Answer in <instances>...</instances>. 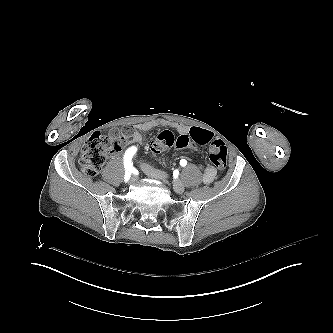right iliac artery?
Returning a JSON list of instances; mask_svg holds the SVG:
<instances>
[{
  "label": "right iliac artery",
  "mask_w": 333,
  "mask_h": 333,
  "mask_svg": "<svg viewBox=\"0 0 333 333\" xmlns=\"http://www.w3.org/2000/svg\"><path fill=\"white\" fill-rule=\"evenodd\" d=\"M137 148L135 146H132L130 148H128L125 152L124 155V167H125V181H128L131 173H132V169H133V163H132V157L133 155L136 153Z\"/></svg>",
  "instance_id": "right-iliac-artery-1"
}]
</instances>
